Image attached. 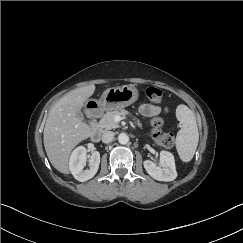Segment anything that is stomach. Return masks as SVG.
<instances>
[{"instance_id":"1","label":"stomach","mask_w":243,"mask_h":243,"mask_svg":"<svg viewBox=\"0 0 243 243\" xmlns=\"http://www.w3.org/2000/svg\"><path fill=\"white\" fill-rule=\"evenodd\" d=\"M139 96L134 85L112 87L104 91L98 104L105 110L122 109L134 103ZM92 100H88L87 104Z\"/></svg>"}]
</instances>
